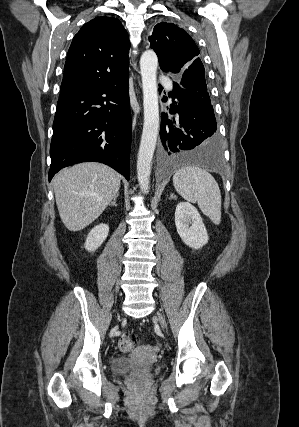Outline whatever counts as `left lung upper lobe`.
Masks as SVG:
<instances>
[{"label":"left lung upper lobe","instance_id":"5c2ea615","mask_svg":"<svg viewBox=\"0 0 299 427\" xmlns=\"http://www.w3.org/2000/svg\"><path fill=\"white\" fill-rule=\"evenodd\" d=\"M149 41L165 73L177 75L184 88L203 92L209 97L204 66L198 57L200 51L184 29L161 22L154 27Z\"/></svg>","mask_w":299,"mask_h":427}]
</instances>
